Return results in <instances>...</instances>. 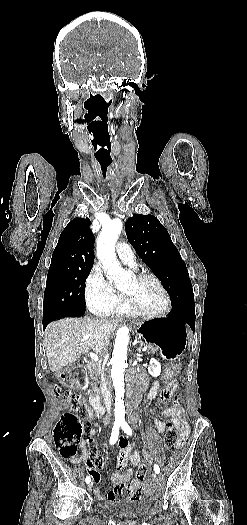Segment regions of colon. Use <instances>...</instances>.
<instances>
[{"mask_svg":"<svg viewBox=\"0 0 247 525\" xmlns=\"http://www.w3.org/2000/svg\"><path fill=\"white\" fill-rule=\"evenodd\" d=\"M184 366L179 364L177 367H170L163 371L158 381L161 384L167 383L172 376H177ZM59 393V392H58ZM63 397L69 402L71 411L65 414L57 423L54 431V442L59 454L64 458L74 457L82 440L83 434L88 427L89 406L74 392H64ZM178 443V434L172 423H167V428L163 438V446L170 450ZM146 465H141L136 474V480L145 481L147 476Z\"/></svg>","mask_w":247,"mask_h":525,"instance_id":"5ec220e1","label":"colon"}]
</instances>
